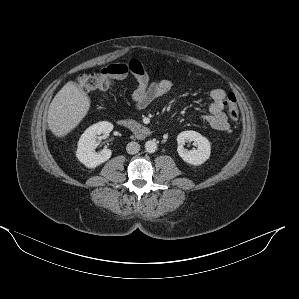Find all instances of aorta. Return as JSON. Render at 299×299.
<instances>
[{"label": "aorta", "instance_id": "aorta-1", "mask_svg": "<svg viewBox=\"0 0 299 299\" xmlns=\"http://www.w3.org/2000/svg\"><path fill=\"white\" fill-rule=\"evenodd\" d=\"M145 149L149 153H154L157 150V143L154 140H149L145 143Z\"/></svg>", "mask_w": 299, "mask_h": 299}]
</instances>
